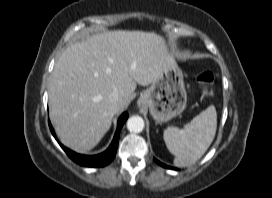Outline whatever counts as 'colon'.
<instances>
[{
    "label": "colon",
    "instance_id": "obj_1",
    "mask_svg": "<svg viewBox=\"0 0 272 198\" xmlns=\"http://www.w3.org/2000/svg\"><path fill=\"white\" fill-rule=\"evenodd\" d=\"M196 79L202 87L203 96L207 99L211 98L213 96V74L209 71L200 70L197 72Z\"/></svg>",
    "mask_w": 272,
    "mask_h": 198
}]
</instances>
